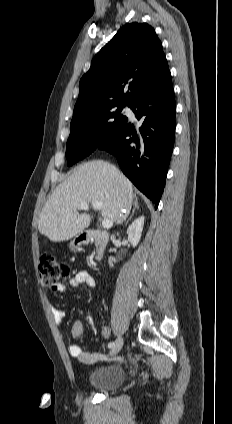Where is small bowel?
<instances>
[{"label":"small bowel","mask_w":232,"mask_h":424,"mask_svg":"<svg viewBox=\"0 0 232 424\" xmlns=\"http://www.w3.org/2000/svg\"><path fill=\"white\" fill-rule=\"evenodd\" d=\"M69 284L73 288H77L79 286H87L89 288H93L96 285V281L93 275L89 271L79 270L70 279ZM66 290H67V286L62 283L58 284L54 288V291L58 293H63ZM50 310L54 319L57 322L60 323L65 319V313L63 311L53 307L52 305H50ZM70 331L72 336L76 340V342L70 345L69 347V354L72 357L77 358L78 361L83 364H93L103 358V354L101 353L86 351L82 348L80 344V340L83 337V324L80 320H75L71 324ZM101 334L103 338L107 339L111 335V329L108 326L103 325L101 328Z\"/></svg>","instance_id":"obj_1"}]
</instances>
